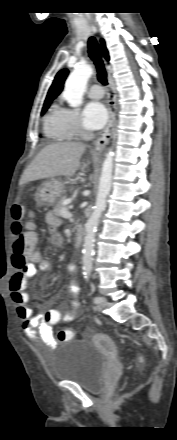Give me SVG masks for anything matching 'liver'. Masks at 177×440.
<instances>
[{
    "label": "liver",
    "instance_id": "liver-1",
    "mask_svg": "<svg viewBox=\"0 0 177 440\" xmlns=\"http://www.w3.org/2000/svg\"><path fill=\"white\" fill-rule=\"evenodd\" d=\"M84 151L85 145L78 142H62L44 147L24 171L20 184L56 176H73Z\"/></svg>",
    "mask_w": 177,
    "mask_h": 440
}]
</instances>
